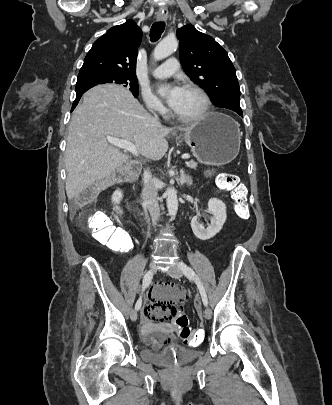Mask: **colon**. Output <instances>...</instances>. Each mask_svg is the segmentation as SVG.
Listing matches in <instances>:
<instances>
[{
  "instance_id": "5ec220e1",
  "label": "colon",
  "mask_w": 332,
  "mask_h": 405,
  "mask_svg": "<svg viewBox=\"0 0 332 405\" xmlns=\"http://www.w3.org/2000/svg\"><path fill=\"white\" fill-rule=\"evenodd\" d=\"M219 187L231 194L234 200L235 212L241 219H247L249 210L247 205V193L244 185L240 182L235 174L223 173L218 177ZM104 184L89 188L79 198L76 199V204L79 206L90 202ZM86 224L95 235L96 240L105 242L111 245V249L122 251L124 255L131 254L132 233L128 231H118L112 220L103 212H94L87 216ZM166 288H179L176 285L169 284ZM176 313H168L166 320L171 323V328L181 343L187 345L189 351H198L199 344L202 342L204 334L208 332L206 325H191L193 312L185 310L181 306V310L170 311Z\"/></svg>"
}]
</instances>
